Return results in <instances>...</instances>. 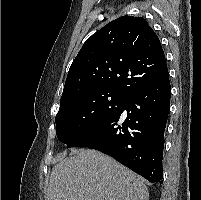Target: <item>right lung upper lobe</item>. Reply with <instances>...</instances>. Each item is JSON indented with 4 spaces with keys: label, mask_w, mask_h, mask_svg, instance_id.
Masks as SVG:
<instances>
[{
    "label": "right lung upper lobe",
    "mask_w": 201,
    "mask_h": 200,
    "mask_svg": "<svg viewBox=\"0 0 201 200\" xmlns=\"http://www.w3.org/2000/svg\"><path fill=\"white\" fill-rule=\"evenodd\" d=\"M166 73L161 43L147 21L123 16L84 43L70 66L60 103L93 91L129 96Z\"/></svg>",
    "instance_id": "obj_1"
}]
</instances>
